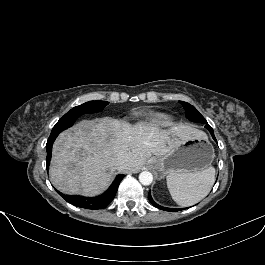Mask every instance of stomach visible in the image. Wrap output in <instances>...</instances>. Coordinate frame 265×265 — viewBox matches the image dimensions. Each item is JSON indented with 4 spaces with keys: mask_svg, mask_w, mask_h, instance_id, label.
I'll list each match as a JSON object with an SVG mask.
<instances>
[{
    "mask_svg": "<svg viewBox=\"0 0 265 265\" xmlns=\"http://www.w3.org/2000/svg\"><path fill=\"white\" fill-rule=\"evenodd\" d=\"M214 159V149L202 134L185 140L177 139L165 156L152 159L156 174L162 178L172 173H193L206 169Z\"/></svg>",
    "mask_w": 265,
    "mask_h": 265,
    "instance_id": "obj_1",
    "label": "stomach"
}]
</instances>
